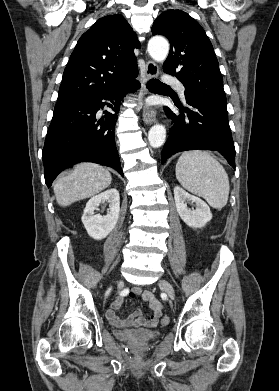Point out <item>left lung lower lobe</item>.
Segmentation results:
<instances>
[{
  "mask_svg": "<svg viewBox=\"0 0 279 391\" xmlns=\"http://www.w3.org/2000/svg\"><path fill=\"white\" fill-rule=\"evenodd\" d=\"M185 97L186 107L176 104L180 114L164 107L174 124L161 152V162L164 163L180 151L216 150L221 152L235 169V148L228 124L227 109L199 97Z\"/></svg>",
  "mask_w": 279,
  "mask_h": 391,
  "instance_id": "left-lung-lower-lobe-1",
  "label": "left lung lower lobe"
}]
</instances>
